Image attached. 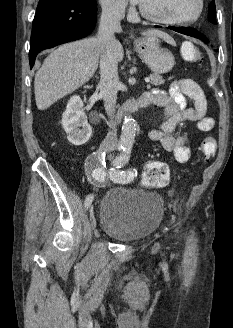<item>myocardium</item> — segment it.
Listing matches in <instances>:
<instances>
[{
  "label": "myocardium",
  "instance_id": "obj_1",
  "mask_svg": "<svg viewBox=\"0 0 233 328\" xmlns=\"http://www.w3.org/2000/svg\"><path fill=\"white\" fill-rule=\"evenodd\" d=\"M196 3H197V9L195 14L191 18L184 19V20L164 19L152 15L148 13L141 5L139 6V12L143 18L155 24L166 25V26H188L196 23L203 14L204 0H196Z\"/></svg>",
  "mask_w": 233,
  "mask_h": 328
}]
</instances>
